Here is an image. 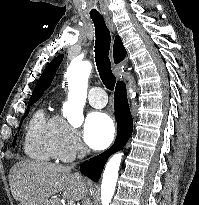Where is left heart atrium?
Returning a JSON list of instances; mask_svg holds the SVG:
<instances>
[{"label": "left heart atrium", "mask_w": 199, "mask_h": 205, "mask_svg": "<svg viewBox=\"0 0 199 205\" xmlns=\"http://www.w3.org/2000/svg\"><path fill=\"white\" fill-rule=\"evenodd\" d=\"M83 134L89 147L95 150L104 149L114 138L113 120L104 112H92L85 119Z\"/></svg>", "instance_id": "obj_1"}]
</instances>
